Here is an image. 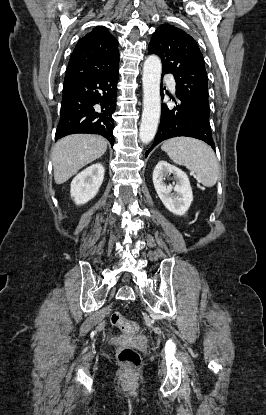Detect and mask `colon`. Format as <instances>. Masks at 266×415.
Segmentation results:
<instances>
[{"label":"colon","mask_w":266,"mask_h":415,"mask_svg":"<svg viewBox=\"0 0 266 415\" xmlns=\"http://www.w3.org/2000/svg\"><path fill=\"white\" fill-rule=\"evenodd\" d=\"M110 322L124 334H135L139 330V324L137 322L126 319L118 312L111 314ZM116 354L119 363L123 367L129 370H134L139 367L141 358L135 349L127 346H119Z\"/></svg>","instance_id":"1"}]
</instances>
